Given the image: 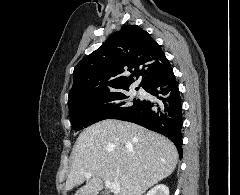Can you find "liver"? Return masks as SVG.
Wrapping results in <instances>:
<instances>
[{
  "label": "liver",
  "instance_id": "obj_1",
  "mask_svg": "<svg viewBox=\"0 0 240 195\" xmlns=\"http://www.w3.org/2000/svg\"><path fill=\"white\" fill-rule=\"evenodd\" d=\"M178 151L164 135L120 119H103L85 127L74 145L66 189L86 181L75 195H97L103 181H118V195H142L170 175ZM91 171V177H85Z\"/></svg>",
  "mask_w": 240,
  "mask_h": 195
}]
</instances>
